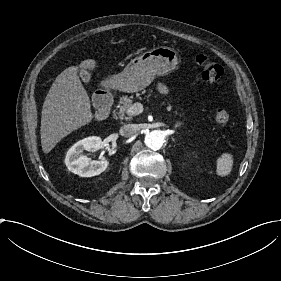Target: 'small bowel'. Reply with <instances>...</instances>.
<instances>
[{
  "instance_id": "small-bowel-1",
  "label": "small bowel",
  "mask_w": 281,
  "mask_h": 281,
  "mask_svg": "<svg viewBox=\"0 0 281 281\" xmlns=\"http://www.w3.org/2000/svg\"><path fill=\"white\" fill-rule=\"evenodd\" d=\"M159 90L163 93L167 92V89L164 85H159Z\"/></svg>"
}]
</instances>
